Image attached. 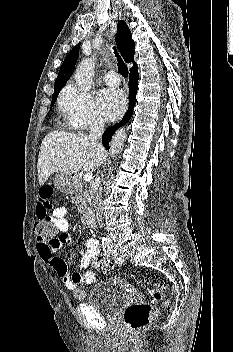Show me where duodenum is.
<instances>
[{
    "label": "duodenum",
    "instance_id": "obj_1",
    "mask_svg": "<svg viewBox=\"0 0 233 352\" xmlns=\"http://www.w3.org/2000/svg\"><path fill=\"white\" fill-rule=\"evenodd\" d=\"M84 220L89 227L93 228L95 226L93 212L90 209L84 212Z\"/></svg>",
    "mask_w": 233,
    "mask_h": 352
}]
</instances>
